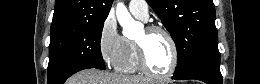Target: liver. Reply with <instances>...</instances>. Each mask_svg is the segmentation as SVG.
Here are the masks:
<instances>
[{
    "mask_svg": "<svg viewBox=\"0 0 260 84\" xmlns=\"http://www.w3.org/2000/svg\"><path fill=\"white\" fill-rule=\"evenodd\" d=\"M70 84H149L139 76L116 75L96 69H85L72 76Z\"/></svg>",
    "mask_w": 260,
    "mask_h": 84,
    "instance_id": "6515ba94",
    "label": "liver"
}]
</instances>
